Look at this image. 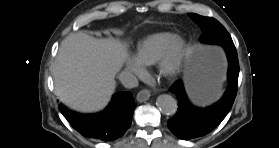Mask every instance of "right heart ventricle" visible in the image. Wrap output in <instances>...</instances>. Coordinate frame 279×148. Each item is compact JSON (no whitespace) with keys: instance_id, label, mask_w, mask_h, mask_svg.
<instances>
[{"instance_id":"obj_1","label":"right heart ventricle","mask_w":279,"mask_h":148,"mask_svg":"<svg viewBox=\"0 0 279 148\" xmlns=\"http://www.w3.org/2000/svg\"><path fill=\"white\" fill-rule=\"evenodd\" d=\"M176 39L177 36L170 32H159L148 36L138 45L136 60L143 66L158 62Z\"/></svg>"}]
</instances>
